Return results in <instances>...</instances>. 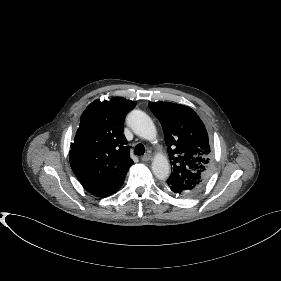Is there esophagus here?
Instances as JSON below:
<instances>
[{
	"label": "esophagus",
	"mask_w": 281,
	"mask_h": 281,
	"mask_svg": "<svg viewBox=\"0 0 281 281\" xmlns=\"http://www.w3.org/2000/svg\"><path fill=\"white\" fill-rule=\"evenodd\" d=\"M141 160H142L143 162H147V161L151 160V155H150L149 153H146L145 155H143V156L141 157Z\"/></svg>",
	"instance_id": "esophagus-1"
}]
</instances>
